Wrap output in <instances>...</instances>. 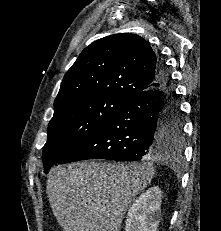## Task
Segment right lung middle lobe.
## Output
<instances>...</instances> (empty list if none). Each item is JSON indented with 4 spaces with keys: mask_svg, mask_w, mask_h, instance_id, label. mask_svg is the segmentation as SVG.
I'll return each instance as SVG.
<instances>
[{
    "mask_svg": "<svg viewBox=\"0 0 221 231\" xmlns=\"http://www.w3.org/2000/svg\"><path fill=\"white\" fill-rule=\"evenodd\" d=\"M125 101L114 95L90 96L54 112L48 125V140L43 148L45 172L95 133ZM168 113L170 121L164 137L175 148H180L183 138L179 108L171 107Z\"/></svg>",
    "mask_w": 221,
    "mask_h": 231,
    "instance_id": "1",
    "label": "right lung middle lobe"
}]
</instances>
